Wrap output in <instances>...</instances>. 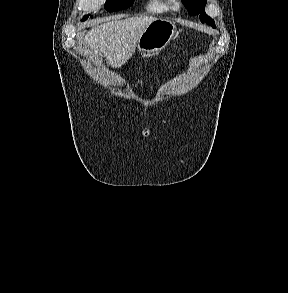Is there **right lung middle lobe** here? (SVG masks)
<instances>
[{
    "label": "right lung middle lobe",
    "mask_w": 288,
    "mask_h": 293,
    "mask_svg": "<svg viewBox=\"0 0 288 293\" xmlns=\"http://www.w3.org/2000/svg\"><path fill=\"white\" fill-rule=\"evenodd\" d=\"M134 0H107L104 7L107 11H117L129 8ZM88 16H84L82 21L86 20Z\"/></svg>",
    "instance_id": "dd1d6c3e"
}]
</instances>
